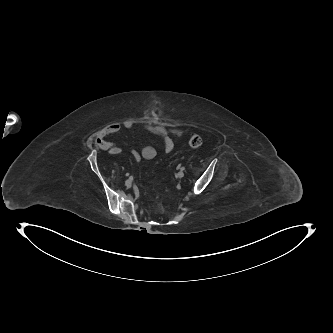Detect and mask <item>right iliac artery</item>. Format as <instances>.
I'll use <instances>...</instances> for the list:
<instances>
[{"instance_id":"obj_1","label":"right iliac artery","mask_w":333,"mask_h":333,"mask_svg":"<svg viewBox=\"0 0 333 333\" xmlns=\"http://www.w3.org/2000/svg\"><path fill=\"white\" fill-rule=\"evenodd\" d=\"M130 174L129 173H126V176H129Z\"/></svg>"}]
</instances>
